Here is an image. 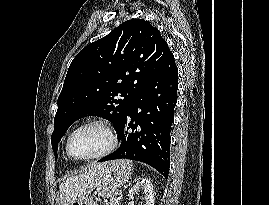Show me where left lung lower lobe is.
Here are the masks:
<instances>
[{
    "label": "left lung lower lobe",
    "mask_w": 269,
    "mask_h": 205,
    "mask_svg": "<svg viewBox=\"0 0 269 205\" xmlns=\"http://www.w3.org/2000/svg\"><path fill=\"white\" fill-rule=\"evenodd\" d=\"M177 89L178 69L171 53L159 73L135 98L116 130L120 147L100 161L126 158L144 162L167 178Z\"/></svg>",
    "instance_id": "obj_1"
}]
</instances>
